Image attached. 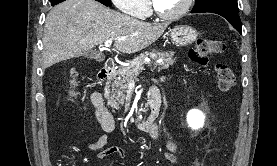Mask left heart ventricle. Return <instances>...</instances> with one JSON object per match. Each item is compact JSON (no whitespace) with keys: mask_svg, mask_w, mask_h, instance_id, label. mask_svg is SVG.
<instances>
[{"mask_svg":"<svg viewBox=\"0 0 277 166\" xmlns=\"http://www.w3.org/2000/svg\"><path fill=\"white\" fill-rule=\"evenodd\" d=\"M157 7L166 14L178 11L184 4L185 0H154Z\"/></svg>","mask_w":277,"mask_h":166,"instance_id":"obj_1","label":"left heart ventricle"}]
</instances>
